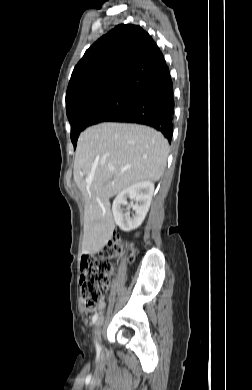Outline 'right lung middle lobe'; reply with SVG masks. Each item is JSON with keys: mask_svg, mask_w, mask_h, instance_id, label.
I'll return each instance as SVG.
<instances>
[{"mask_svg": "<svg viewBox=\"0 0 252 390\" xmlns=\"http://www.w3.org/2000/svg\"><path fill=\"white\" fill-rule=\"evenodd\" d=\"M135 96L111 95L82 104L67 113L71 124V140L74 148L80 133L88 126L104 122L126 109Z\"/></svg>", "mask_w": 252, "mask_h": 390, "instance_id": "dd1d6c3e", "label": "right lung middle lobe"}]
</instances>
